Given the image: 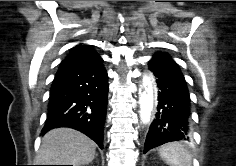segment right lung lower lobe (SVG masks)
Masks as SVG:
<instances>
[{
    "instance_id": "right-lung-lower-lobe-1",
    "label": "right lung lower lobe",
    "mask_w": 236,
    "mask_h": 166,
    "mask_svg": "<svg viewBox=\"0 0 236 166\" xmlns=\"http://www.w3.org/2000/svg\"><path fill=\"white\" fill-rule=\"evenodd\" d=\"M108 76L103 60L83 67L60 68L51 90L43 134L57 127L81 131L103 148Z\"/></svg>"
}]
</instances>
